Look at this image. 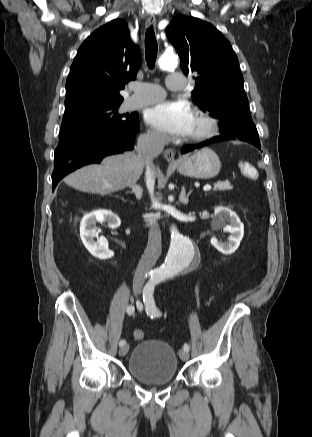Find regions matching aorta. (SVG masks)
I'll use <instances>...</instances> for the list:
<instances>
[{
	"label": "aorta",
	"instance_id": "1",
	"mask_svg": "<svg viewBox=\"0 0 312 437\" xmlns=\"http://www.w3.org/2000/svg\"><path fill=\"white\" fill-rule=\"evenodd\" d=\"M162 70H171L177 67L178 58L174 53L163 54L158 61ZM171 243L165 262L159 268V272L172 276L186 268L198 255L197 250L190 239L181 235L175 226L170 228Z\"/></svg>",
	"mask_w": 312,
	"mask_h": 437
}]
</instances>
